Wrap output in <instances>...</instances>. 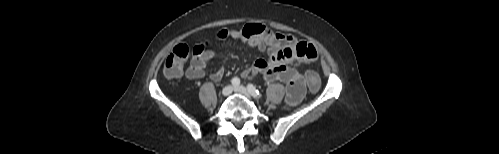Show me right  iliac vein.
Wrapping results in <instances>:
<instances>
[{
    "mask_svg": "<svg viewBox=\"0 0 499 154\" xmlns=\"http://www.w3.org/2000/svg\"><path fill=\"white\" fill-rule=\"evenodd\" d=\"M233 87L231 85H227L222 89V95L223 96H228L232 93Z\"/></svg>",
    "mask_w": 499,
    "mask_h": 154,
    "instance_id": "right-iliac-vein-1",
    "label": "right iliac vein"
}]
</instances>
